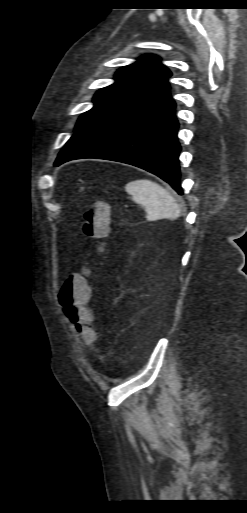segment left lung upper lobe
Wrapping results in <instances>:
<instances>
[{
    "label": "left lung upper lobe",
    "instance_id": "1",
    "mask_svg": "<svg viewBox=\"0 0 247 513\" xmlns=\"http://www.w3.org/2000/svg\"><path fill=\"white\" fill-rule=\"evenodd\" d=\"M171 74L155 55L142 56L136 63L120 68L115 83L95 94L94 107L79 118L75 130L155 90Z\"/></svg>",
    "mask_w": 247,
    "mask_h": 513
}]
</instances>
